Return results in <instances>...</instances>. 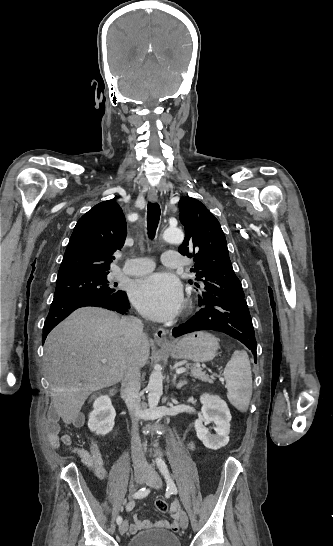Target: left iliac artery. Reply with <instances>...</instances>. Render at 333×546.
<instances>
[{
  "instance_id": "1",
  "label": "left iliac artery",
  "mask_w": 333,
  "mask_h": 546,
  "mask_svg": "<svg viewBox=\"0 0 333 546\" xmlns=\"http://www.w3.org/2000/svg\"><path fill=\"white\" fill-rule=\"evenodd\" d=\"M156 463H157V466L160 470V472L162 473V475L164 476L166 482H167V490L169 492H171L172 494H177V487L175 485V483L173 482V480L171 479L170 477V474H169V470H168V467L165 463V461L161 458H158L156 459Z\"/></svg>"
}]
</instances>
